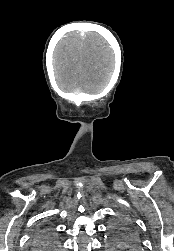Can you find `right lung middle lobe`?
<instances>
[{"label": "right lung middle lobe", "mask_w": 174, "mask_h": 251, "mask_svg": "<svg viewBox=\"0 0 174 251\" xmlns=\"http://www.w3.org/2000/svg\"><path fill=\"white\" fill-rule=\"evenodd\" d=\"M50 231L43 229L37 232L33 241L34 250H55L57 243L51 239Z\"/></svg>", "instance_id": "obj_1"}]
</instances>
